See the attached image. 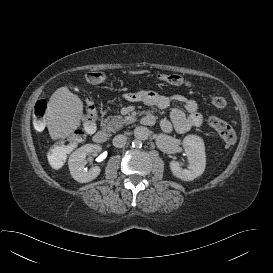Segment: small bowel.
Wrapping results in <instances>:
<instances>
[{"label":"small bowel","mask_w":273,"mask_h":273,"mask_svg":"<svg viewBox=\"0 0 273 273\" xmlns=\"http://www.w3.org/2000/svg\"><path fill=\"white\" fill-rule=\"evenodd\" d=\"M126 99L134 102H141L149 107L166 108L171 101L181 103L185 110L173 108L170 112V119L160 120V128L164 133L176 131L185 133L193 127H198L203 123V117L199 112V106L193 99L183 95H174L172 97L159 94L155 91H141L138 93H129Z\"/></svg>","instance_id":"small-bowel-1"}]
</instances>
